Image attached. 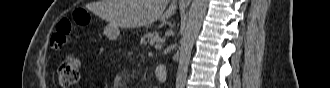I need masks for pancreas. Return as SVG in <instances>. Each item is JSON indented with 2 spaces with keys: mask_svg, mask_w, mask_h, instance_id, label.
Returning <instances> with one entry per match:
<instances>
[{
  "mask_svg": "<svg viewBox=\"0 0 330 88\" xmlns=\"http://www.w3.org/2000/svg\"><path fill=\"white\" fill-rule=\"evenodd\" d=\"M160 40L159 34L157 32H148L144 34L141 38L140 43L147 44V43H154Z\"/></svg>",
  "mask_w": 330,
  "mask_h": 88,
  "instance_id": "obj_1",
  "label": "pancreas"
}]
</instances>
